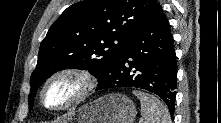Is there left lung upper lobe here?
Here are the masks:
<instances>
[{
  "label": "left lung upper lobe",
  "mask_w": 221,
  "mask_h": 123,
  "mask_svg": "<svg viewBox=\"0 0 221 123\" xmlns=\"http://www.w3.org/2000/svg\"><path fill=\"white\" fill-rule=\"evenodd\" d=\"M157 6L156 0H84L68 7L41 42L30 93L63 69H86L97 78L106 74ZM32 105L30 94L29 109Z\"/></svg>",
  "instance_id": "obj_1"
}]
</instances>
